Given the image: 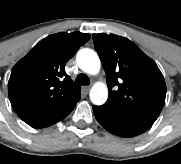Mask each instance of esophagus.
<instances>
[{
	"mask_svg": "<svg viewBox=\"0 0 181 164\" xmlns=\"http://www.w3.org/2000/svg\"><path fill=\"white\" fill-rule=\"evenodd\" d=\"M83 89L85 90V92H88L90 90V86L89 85L84 86Z\"/></svg>",
	"mask_w": 181,
	"mask_h": 164,
	"instance_id": "obj_1",
	"label": "esophagus"
}]
</instances>
